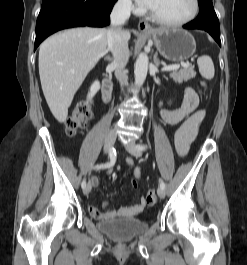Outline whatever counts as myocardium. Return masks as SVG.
I'll return each mask as SVG.
<instances>
[{"label":"myocardium","instance_id":"f54148a6","mask_svg":"<svg viewBox=\"0 0 247 265\" xmlns=\"http://www.w3.org/2000/svg\"><path fill=\"white\" fill-rule=\"evenodd\" d=\"M200 8H201L200 0H193V10L190 13V15H188L184 19L176 20V21L164 19L158 16L157 14H155L151 9L148 10V15L154 22L160 25H163L166 27H181L195 20L197 16L199 15Z\"/></svg>","mask_w":247,"mask_h":265}]
</instances>
